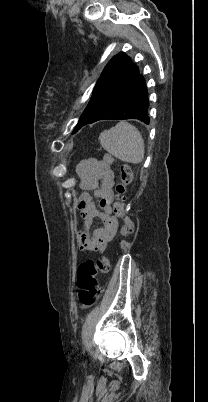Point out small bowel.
Segmentation results:
<instances>
[{
    "label": "small bowel",
    "mask_w": 208,
    "mask_h": 402,
    "mask_svg": "<svg viewBox=\"0 0 208 402\" xmlns=\"http://www.w3.org/2000/svg\"><path fill=\"white\" fill-rule=\"evenodd\" d=\"M76 172L81 188L85 190L77 202L84 220V227L77 232L78 243L82 250L98 251L106 247L118 229L112 208L115 174L111 164L98 158L82 160ZM95 219H99L102 226L93 227Z\"/></svg>",
    "instance_id": "1"
}]
</instances>
